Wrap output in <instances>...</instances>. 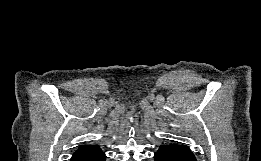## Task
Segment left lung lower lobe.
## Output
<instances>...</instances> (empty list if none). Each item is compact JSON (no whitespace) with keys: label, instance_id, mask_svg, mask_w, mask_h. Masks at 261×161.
Segmentation results:
<instances>
[{"label":"left lung lower lobe","instance_id":"obj_1","mask_svg":"<svg viewBox=\"0 0 261 161\" xmlns=\"http://www.w3.org/2000/svg\"><path fill=\"white\" fill-rule=\"evenodd\" d=\"M155 161H197L186 145H161L154 155Z\"/></svg>","mask_w":261,"mask_h":161}]
</instances>
